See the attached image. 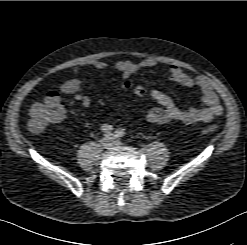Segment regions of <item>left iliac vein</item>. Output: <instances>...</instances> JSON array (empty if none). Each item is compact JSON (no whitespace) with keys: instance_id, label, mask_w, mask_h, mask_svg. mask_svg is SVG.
Listing matches in <instances>:
<instances>
[{"instance_id":"obj_1","label":"left iliac vein","mask_w":247,"mask_h":245,"mask_svg":"<svg viewBox=\"0 0 247 245\" xmlns=\"http://www.w3.org/2000/svg\"><path fill=\"white\" fill-rule=\"evenodd\" d=\"M114 144H115V145H119V144H121V141H120V140L115 139Z\"/></svg>"}]
</instances>
